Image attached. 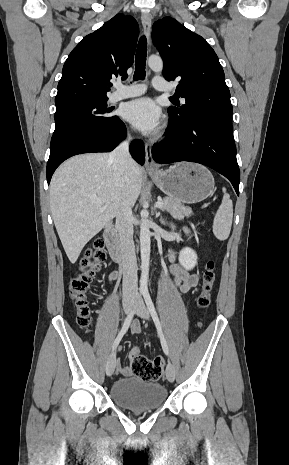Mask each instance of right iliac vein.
Masks as SVG:
<instances>
[{"label":"right iliac vein","instance_id":"1","mask_svg":"<svg viewBox=\"0 0 289 465\" xmlns=\"http://www.w3.org/2000/svg\"><path fill=\"white\" fill-rule=\"evenodd\" d=\"M133 307V300L132 299H125L123 301V308L126 314H129ZM116 366V353L113 351L107 359L106 362V374L111 376L114 373Z\"/></svg>","mask_w":289,"mask_h":465}]
</instances>
